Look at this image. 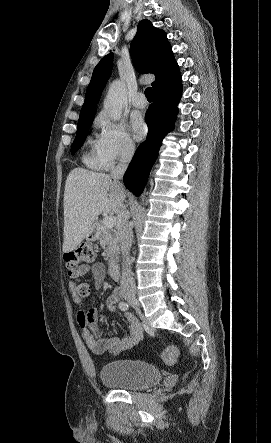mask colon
<instances>
[{
  "instance_id": "colon-1",
  "label": "colon",
  "mask_w": 271,
  "mask_h": 443,
  "mask_svg": "<svg viewBox=\"0 0 271 443\" xmlns=\"http://www.w3.org/2000/svg\"><path fill=\"white\" fill-rule=\"evenodd\" d=\"M95 258V251L91 244L82 243L77 248L64 254V261L69 271V276L73 279H77L78 266L82 264L91 263ZM78 293L81 296H87L90 293V286L87 284L78 285ZM178 357V348L174 345L168 346L161 355L164 363L171 365Z\"/></svg>"
}]
</instances>
